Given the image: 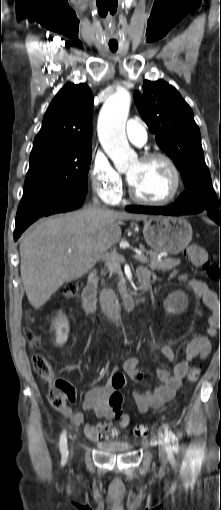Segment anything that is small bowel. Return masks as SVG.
Returning <instances> with one entry per match:
<instances>
[{"mask_svg": "<svg viewBox=\"0 0 221 510\" xmlns=\"http://www.w3.org/2000/svg\"><path fill=\"white\" fill-rule=\"evenodd\" d=\"M146 271L150 276V280H154L155 277L148 270ZM181 279L187 281L190 288L203 300V303L211 311V314L207 317L206 333L192 339L186 348L185 358L174 365L172 372L165 368L157 370V376L162 382L161 385L144 392H133L136 407L143 414L147 413L150 409H159L164 403L173 399L183 379L188 375L189 363L195 358L203 360L210 354V338L217 333L220 325L218 314L220 300L216 293L202 280L195 278L188 279L186 276H182ZM149 350L162 354L170 363L174 362V352L167 344L155 343L150 346ZM122 369L132 382L143 381L144 373L138 368V358L135 355H130L124 360ZM118 370V368H114L113 373L118 372ZM113 393L114 389L110 382L104 386L89 388L84 392L83 409L85 411H92L97 417L104 419L103 422L96 425L88 422L84 423V414L82 412H73L68 407L60 412L69 418L74 425L84 424L85 435L90 440H110L117 435V430L111 424L112 420L116 419V407L112 406L109 401Z\"/></svg>", "mask_w": 221, "mask_h": 510, "instance_id": "1", "label": "small bowel"}]
</instances>
